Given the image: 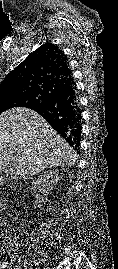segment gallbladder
<instances>
[{"label":"gallbladder","mask_w":118,"mask_h":269,"mask_svg":"<svg viewBox=\"0 0 118 269\" xmlns=\"http://www.w3.org/2000/svg\"><path fill=\"white\" fill-rule=\"evenodd\" d=\"M5 173L8 175L10 173V170L9 169H6L5 170Z\"/></svg>","instance_id":"1"}]
</instances>
